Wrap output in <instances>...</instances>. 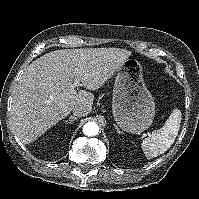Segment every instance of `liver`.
<instances>
[{"label":"liver","instance_id":"liver-1","mask_svg":"<svg viewBox=\"0 0 199 199\" xmlns=\"http://www.w3.org/2000/svg\"><path fill=\"white\" fill-rule=\"evenodd\" d=\"M131 52L120 48L56 50L33 61L15 87L11 122L15 134L31 143L64 119L75 105L92 111L94 95L72 89L74 78L88 90H97Z\"/></svg>","mask_w":199,"mask_h":199}]
</instances>
